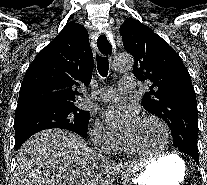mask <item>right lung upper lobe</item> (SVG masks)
I'll use <instances>...</instances> for the list:
<instances>
[{
	"label": "right lung upper lobe",
	"instance_id": "right-lung-upper-lobe-1",
	"mask_svg": "<svg viewBox=\"0 0 207 185\" xmlns=\"http://www.w3.org/2000/svg\"><path fill=\"white\" fill-rule=\"evenodd\" d=\"M93 66L86 28L67 24L29 65L16 111L36 106L78 108V88L89 85Z\"/></svg>",
	"mask_w": 207,
	"mask_h": 185
}]
</instances>
